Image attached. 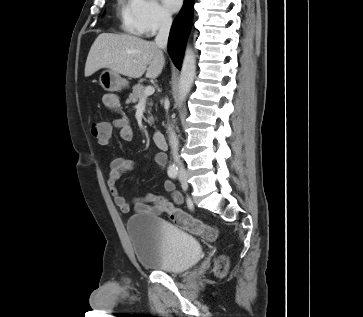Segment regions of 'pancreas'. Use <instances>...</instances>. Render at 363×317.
<instances>
[{
	"label": "pancreas",
	"mask_w": 363,
	"mask_h": 317,
	"mask_svg": "<svg viewBox=\"0 0 363 317\" xmlns=\"http://www.w3.org/2000/svg\"><path fill=\"white\" fill-rule=\"evenodd\" d=\"M144 91H145V87L143 85L137 84L135 86H133V90L132 93L129 95V102H133V103H137L138 101H140L143 97H144ZM148 105H152V103H148ZM150 113V111H148ZM148 123L150 125H152L153 123V117L150 116L148 118Z\"/></svg>",
	"instance_id": "obj_1"
}]
</instances>
